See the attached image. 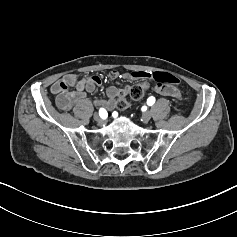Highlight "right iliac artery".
Instances as JSON below:
<instances>
[{"label":"right iliac artery","mask_w":237,"mask_h":237,"mask_svg":"<svg viewBox=\"0 0 237 237\" xmlns=\"http://www.w3.org/2000/svg\"><path fill=\"white\" fill-rule=\"evenodd\" d=\"M99 116H100L102 119H106L107 116H108V113H107V111H106L104 108H100V109H99Z\"/></svg>","instance_id":"right-iliac-artery-1"}]
</instances>
